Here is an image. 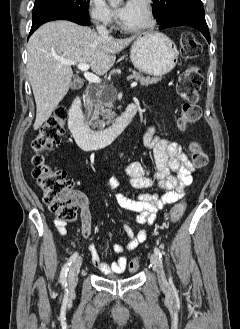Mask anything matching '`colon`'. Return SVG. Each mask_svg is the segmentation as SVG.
<instances>
[{"mask_svg":"<svg viewBox=\"0 0 240 329\" xmlns=\"http://www.w3.org/2000/svg\"><path fill=\"white\" fill-rule=\"evenodd\" d=\"M202 51L200 42L195 36L186 32L181 38V52L183 57L192 59ZM202 74L197 68L187 69L179 78L177 83L178 94L184 100L181 108L178 124L181 129H186L196 123L201 115L199 107L200 88ZM67 111L64 106H57L53 113L47 118L39 134L32 142L33 177L43 192L44 202L48 209L53 212L59 221L72 222L77 219L78 204L81 198L73 189V181L66 172L49 166L45 162L44 153L58 144L65 133V120ZM189 154L193 165L197 168L206 166L208 158L202 146L193 142L189 147ZM186 204L176 203L169 212L172 222L178 221L184 214ZM139 261L132 260L129 263L131 272L137 271Z\"/></svg>","mask_w":240,"mask_h":329,"instance_id":"colon-1","label":"colon"}]
</instances>
